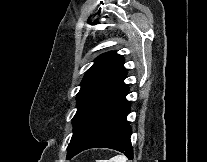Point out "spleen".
<instances>
[{
  "mask_svg": "<svg viewBox=\"0 0 207 162\" xmlns=\"http://www.w3.org/2000/svg\"><path fill=\"white\" fill-rule=\"evenodd\" d=\"M96 162H127V157L124 155H117L110 160H97Z\"/></svg>",
  "mask_w": 207,
  "mask_h": 162,
  "instance_id": "obj_1",
  "label": "spleen"
}]
</instances>
